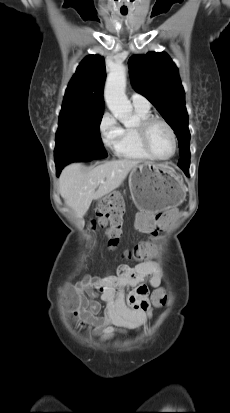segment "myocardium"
<instances>
[{"mask_svg":"<svg viewBox=\"0 0 230 413\" xmlns=\"http://www.w3.org/2000/svg\"><path fill=\"white\" fill-rule=\"evenodd\" d=\"M154 123H161V124L165 125L166 128L170 132L172 142H173V150H172L171 154L167 157H160V156L156 155L152 151V149L149 145L148 132H149L150 127ZM137 132H138V136H139V140H140L142 148L144 149L146 154L149 157H151L152 159L159 160V161H167V160L172 159L175 156V154L177 153V149H178L177 135H176V132H175L174 128L172 127V125L167 120H165L161 117H156V116L148 117V118H146V119H144V120H142L138 123Z\"/></svg>","mask_w":230,"mask_h":413,"instance_id":"1","label":"myocardium"}]
</instances>
